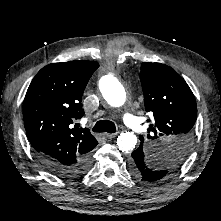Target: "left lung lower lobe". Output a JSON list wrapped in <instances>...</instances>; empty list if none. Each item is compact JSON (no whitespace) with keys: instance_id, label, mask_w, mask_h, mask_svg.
Listing matches in <instances>:
<instances>
[{"instance_id":"1","label":"left lung lower lobe","mask_w":221,"mask_h":221,"mask_svg":"<svg viewBox=\"0 0 221 221\" xmlns=\"http://www.w3.org/2000/svg\"><path fill=\"white\" fill-rule=\"evenodd\" d=\"M130 172L135 178L145 183H153L154 179L161 175V173L153 170L150 166L141 145L132 153V157L130 158Z\"/></svg>"}]
</instances>
